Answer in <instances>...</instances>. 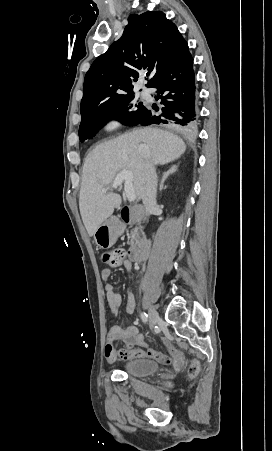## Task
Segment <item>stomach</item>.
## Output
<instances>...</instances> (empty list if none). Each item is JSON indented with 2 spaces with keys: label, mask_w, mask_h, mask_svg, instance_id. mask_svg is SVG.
<instances>
[{
  "label": "stomach",
  "mask_w": 272,
  "mask_h": 451,
  "mask_svg": "<svg viewBox=\"0 0 272 451\" xmlns=\"http://www.w3.org/2000/svg\"><path fill=\"white\" fill-rule=\"evenodd\" d=\"M94 239L98 247L102 249H108L114 245L117 235L115 233L114 227H111L109 222H104L101 226L97 227L94 233Z\"/></svg>",
  "instance_id": "stomach-1"
}]
</instances>
